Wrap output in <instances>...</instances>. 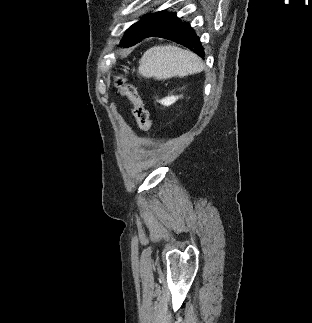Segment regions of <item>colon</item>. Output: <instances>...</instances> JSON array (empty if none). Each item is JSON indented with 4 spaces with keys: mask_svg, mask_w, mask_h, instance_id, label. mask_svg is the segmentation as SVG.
I'll return each mask as SVG.
<instances>
[{
    "mask_svg": "<svg viewBox=\"0 0 312 323\" xmlns=\"http://www.w3.org/2000/svg\"><path fill=\"white\" fill-rule=\"evenodd\" d=\"M125 71H128L127 67H125ZM116 86L118 87V95L126 97L133 105L134 115L140 129L144 133H149L152 122L145 101L137 87L132 83L125 82L121 77L117 78Z\"/></svg>",
    "mask_w": 312,
    "mask_h": 323,
    "instance_id": "5ec220e1",
    "label": "colon"
}]
</instances>
